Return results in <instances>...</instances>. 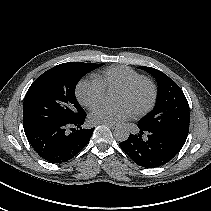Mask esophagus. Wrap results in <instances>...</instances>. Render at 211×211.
Masks as SVG:
<instances>
[{
    "label": "esophagus",
    "mask_w": 211,
    "mask_h": 211,
    "mask_svg": "<svg viewBox=\"0 0 211 211\" xmlns=\"http://www.w3.org/2000/svg\"><path fill=\"white\" fill-rule=\"evenodd\" d=\"M104 125L108 126L111 129H116L117 126L115 124H110V123H103Z\"/></svg>",
    "instance_id": "esophagus-1"
}]
</instances>
